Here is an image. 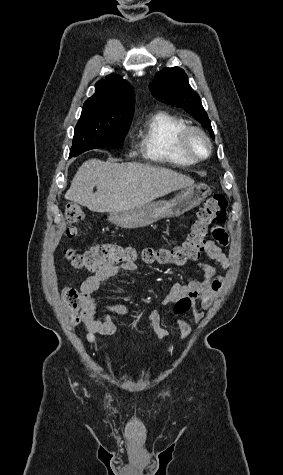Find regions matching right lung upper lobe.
Masks as SVG:
<instances>
[{"mask_svg": "<svg viewBox=\"0 0 283 475\" xmlns=\"http://www.w3.org/2000/svg\"><path fill=\"white\" fill-rule=\"evenodd\" d=\"M135 95L132 86L118 75H109L96 83V92L84 105L123 106L134 105Z\"/></svg>", "mask_w": 283, "mask_h": 475, "instance_id": "obj_1", "label": "right lung upper lobe"}]
</instances>
